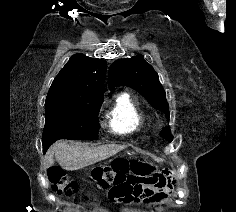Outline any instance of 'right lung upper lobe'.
<instances>
[{"instance_id":"obj_1","label":"right lung upper lobe","mask_w":236,"mask_h":212,"mask_svg":"<svg viewBox=\"0 0 236 212\" xmlns=\"http://www.w3.org/2000/svg\"><path fill=\"white\" fill-rule=\"evenodd\" d=\"M106 68L104 60L71 56L53 80L46 101L72 103L103 98Z\"/></svg>"}]
</instances>
